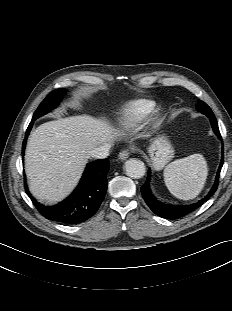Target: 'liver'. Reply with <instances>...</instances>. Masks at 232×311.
<instances>
[{
    "instance_id": "obj_1",
    "label": "liver",
    "mask_w": 232,
    "mask_h": 311,
    "mask_svg": "<svg viewBox=\"0 0 232 311\" xmlns=\"http://www.w3.org/2000/svg\"><path fill=\"white\" fill-rule=\"evenodd\" d=\"M121 134L108 122L79 115L41 124L30 135L25 171L31 193L57 203L77 185L90 152Z\"/></svg>"
}]
</instances>
